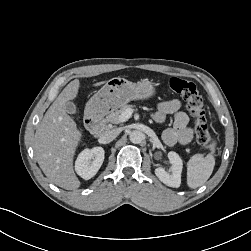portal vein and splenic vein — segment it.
Wrapping results in <instances>:
<instances>
[{
    "label": "portal vein and splenic vein",
    "instance_id": "portal-vein-and-splenic-vein-1",
    "mask_svg": "<svg viewBox=\"0 0 251 251\" xmlns=\"http://www.w3.org/2000/svg\"><path fill=\"white\" fill-rule=\"evenodd\" d=\"M132 113H133V109H127L125 110L119 117V120L120 122H125L127 121L128 119L131 118L132 116Z\"/></svg>",
    "mask_w": 251,
    "mask_h": 251
}]
</instances>
